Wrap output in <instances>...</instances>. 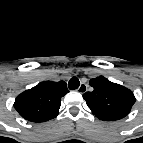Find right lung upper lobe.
Masks as SVG:
<instances>
[{
    "label": "right lung upper lobe",
    "instance_id": "cb5924a9",
    "mask_svg": "<svg viewBox=\"0 0 143 143\" xmlns=\"http://www.w3.org/2000/svg\"><path fill=\"white\" fill-rule=\"evenodd\" d=\"M68 92L64 81L41 82L21 93L15 100L14 108L26 120L48 121L58 115L61 98Z\"/></svg>",
    "mask_w": 143,
    "mask_h": 143
}]
</instances>
